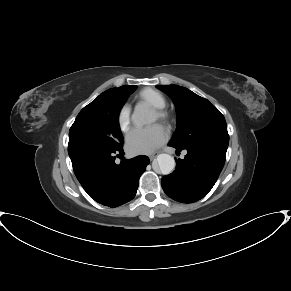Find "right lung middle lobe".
<instances>
[{
	"label": "right lung middle lobe",
	"mask_w": 291,
	"mask_h": 291,
	"mask_svg": "<svg viewBox=\"0 0 291 291\" xmlns=\"http://www.w3.org/2000/svg\"><path fill=\"white\" fill-rule=\"evenodd\" d=\"M135 90L136 86L111 88L85 106L70 128L68 147L120 148L124 139L118 122L119 112Z\"/></svg>",
	"instance_id": "right-lung-middle-lobe-1"
}]
</instances>
